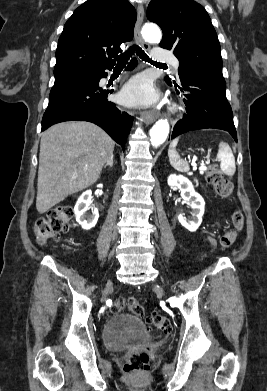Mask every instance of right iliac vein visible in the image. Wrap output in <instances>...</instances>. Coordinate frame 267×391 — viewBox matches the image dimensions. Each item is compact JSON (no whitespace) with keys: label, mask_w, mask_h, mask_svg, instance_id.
<instances>
[{"label":"right iliac vein","mask_w":267,"mask_h":391,"mask_svg":"<svg viewBox=\"0 0 267 391\" xmlns=\"http://www.w3.org/2000/svg\"><path fill=\"white\" fill-rule=\"evenodd\" d=\"M112 286V281H108L104 290H103V296H106V294L108 293L109 289L111 288Z\"/></svg>","instance_id":"63e3f726"}]
</instances>
